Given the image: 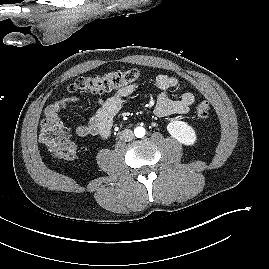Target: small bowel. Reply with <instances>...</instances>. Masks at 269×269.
Wrapping results in <instances>:
<instances>
[{
    "label": "small bowel",
    "mask_w": 269,
    "mask_h": 269,
    "mask_svg": "<svg viewBox=\"0 0 269 269\" xmlns=\"http://www.w3.org/2000/svg\"><path fill=\"white\" fill-rule=\"evenodd\" d=\"M154 82L161 90L154 107V114L157 117L178 116L189 112L190 107L195 102L193 93L185 92L178 99H172L169 96L170 91H178L180 88V82L176 77L158 74L154 77ZM137 87L138 83L129 84L118 88L108 98L99 97L97 99L98 107L93 116L88 123L77 126L75 133L80 137L97 135L101 138H107L114 116L121 110L125 99L132 95ZM76 101V98L61 96L47 106L46 118L60 121V113L67 110Z\"/></svg>",
    "instance_id": "small-bowel-1"
}]
</instances>
